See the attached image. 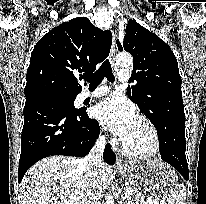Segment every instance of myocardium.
Wrapping results in <instances>:
<instances>
[{
  "mask_svg": "<svg viewBox=\"0 0 206 204\" xmlns=\"http://www.w3.org/2000/svg\"><path fill=\"white\" fill-rule=\"evenodd\" d=\"M137 118L143 122L146 127L148 128L151 138H152V145L149 150L144 151V152H136L130 150L124 142L121 143V151L131 157V158H136V159H150L155 157L160 153L162 142H161V137L159 134V131L155 124L149 119L147 116L143 114L137 115Z\"/></svg>",
  "mask_w": 206,
  "mask_h": 204,
  "instance_id": "myocardium-1",
  "label": "myocardium"
}]
</instances>
